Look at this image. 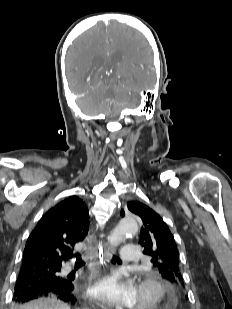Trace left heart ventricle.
Here are the masks:
<instances>
[{
    "mask_svg": "<svg viewBox=\"0 0 232 309\" xmlns=\"http://www.w3.org/2000/svg\"><path fill=\"white\" fill-rule=\"evenodd\" d=\"M148 299V291L147 290H142V291H137V299H136V303L135 306H139L140 304H142L144 301H146Z\"/></svg>",
    "mask_w": 232,
    "mask_h": 309,
    "instance_id": "b2bd125f",
    "label": "left heart ventricle"
}]
</instances>
